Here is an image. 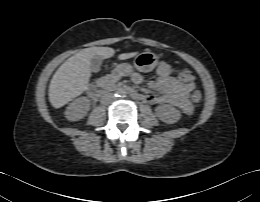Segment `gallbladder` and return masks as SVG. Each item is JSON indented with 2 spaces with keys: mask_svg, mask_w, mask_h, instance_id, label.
Masks as SVG:
<instances>
[{
  "mask_svg": "<svg viewBox=\"0 0 260 202\" xmlns=\"http://www.w3.org/2000/svg\"><path fill=\"white\" fill-rule=\"evenodd\" d=\"M102 65V57L101 56H94L90 60V68L91 71L97 73L100 71Z\"/></svg>",
  "mask_w": 260,
  "mask_h": 202,
  "instance_id": "obj_1",
  "label": "gallbladder"
}]
</instances>
